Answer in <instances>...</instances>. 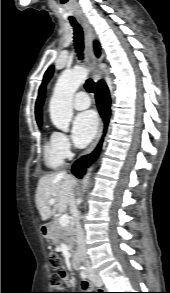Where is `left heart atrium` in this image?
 Masks as SVG:
<instances>
[{
    "label": "left heart atrium",
    "mask_w": 170,
    "mask_h": 293,
    "mask_svg": "<svg viewBox=\"0 0 170 293\" xmlns=\"http://www.w3.org/2000/svg\"><path fill=\"white\" fill-rule=\"evenodd\" d=\"M98 127L97 116L92 111L78 114L72 122V139L76 146H86L95 136Z\"/></svg>",
    "instance_id": "39dd6f15"
}]
</instances>
